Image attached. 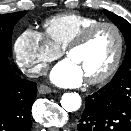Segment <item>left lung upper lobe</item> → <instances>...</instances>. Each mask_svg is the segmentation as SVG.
Listing matches in <instances>:
<instances>
[{
    "mask_svg": "<svg viewBox=\"0 0 131 131\" xmlns=\"http://www.w3.org/2000/svg\"><path fill=\"white\" fill-rule=\"evenodd\" d=\"M103 12L120 29L127 45L125 59L112 80H121L131 77V24L114 13L106 10H103Z\"/></svg>",
    "mask_w": 131,
    "mask_h": 131,
    "instance_id": "5c2ea615",
    "label": "left lung upper lobe"
}]
</instances>
